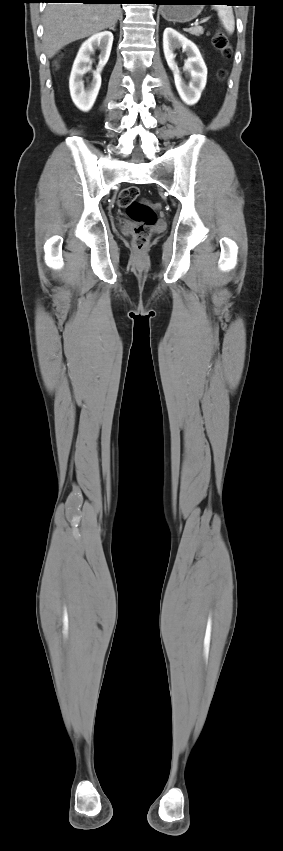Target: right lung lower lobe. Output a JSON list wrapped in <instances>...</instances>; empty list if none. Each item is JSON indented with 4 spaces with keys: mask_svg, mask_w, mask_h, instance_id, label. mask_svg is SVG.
I'll return each instance as SVG.
<instances>
[{
    "mask_svg": "<svg viewBox=\"0 0 283 851\" xmlns=\"http://www.w3.org/2000/svg\"><path fill=\"white\" fill-rule=\"evenodd\" d=\"M48 3H59V2H74V3H85V4H123L127 3L129 0H43Z\"/></svg>",
    "mask_w": 283,
    "mask_h": 851,
    "instance_id": "obj_1",
    "label": "right lung lower lobe"
}]
</instances>
